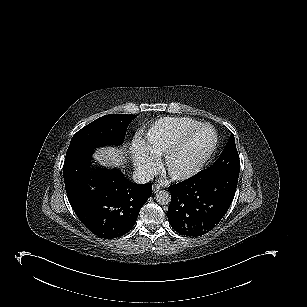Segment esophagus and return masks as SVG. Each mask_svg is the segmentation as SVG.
Returning <instances> with one entry per match:
<instances>
[{"mask_svg":"<svg viewBox=\"0 0 307 307\" xmlns=\"http://www.w3.org/2000/svg\"><path fill=\"white\" fill-rule=\"evenodd\" d=\"M160 189H161V186H160V185H158V184H154V185H153V192H154V193L158 192Z\"/></svg>","mask_w":307,"mask_h":307,"instance_id":"34e87169","label":"esophagus"}]
</instances>
